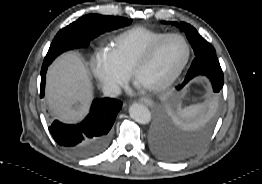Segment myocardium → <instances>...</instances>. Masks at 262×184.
I'll return each mask as SVG.
<instances>
[{"label":"myocardium","instance_id":"myocardium-1","mask_svg":"<svg viewBox=\"0 0 262 184\" xmlns=\"http://www.w3.org/2000/svg\"><path fill=\"white\" fill-rule=\"evenodd\" d=\"M176 37L183 41L185 47H186V56L179 66V68L164 82L157 84V85H148V86H142L145 90L151 91V92H160L164 91L167 88H169L171 85L175 83V81L180 77L184 69L186 68L190 56H191V47L188 42V40L179 33H166L160 36L158 39H156L154 42H152L145 51L141 54V56L137 59L135 64L132 67L131 70V76L134 79V81L138 82V74L152 59L155 51L159 47V45L166 39Z\"/></svg>","mask_w":262,"mask_h":184}]
</instances>
